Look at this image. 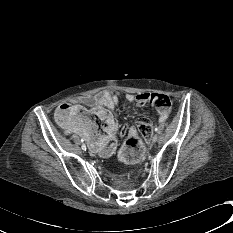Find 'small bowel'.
I'll return each instance as SVG.
<instances>
[{
  "instance_id": "c3829d8e",
  "label": "small bowel",
  "mask_w": 233,
  "mask_h": 233,
  "mask_svg": "<svg viewBox=\"0 0 233 233\" xmlns=\"http://www.w3.org/2000/svg\"><path fill=\"white\" fill-rule=\"evenodd\" d=\"M164 95L151 94L147 92L132 94H122L119 91H102L95 95L79 97L70 104L77 106L78 111L73 117L70 125L64 126L65 132L68 134L75 133L80 135L87 143L90 152L101 157L111 156L117 148V136L119 129L113 116L109 115L103 120V134L97 132V127L91 117L92 110L107 107L109 109L118 105L121 99L130 104H135L138 108H144L156 98H162ZM167 97V96H165ZM84 107H88L89 111L84 112ZM159 119L161 121L168 117L169 107L157 108ZM152 127L151 122L149 121ZM124 130L132 132L133 129L126 127ZM124 158L129 163H136L141 158V151L136 146H129L124 151Z\"/></svg>"
}]
</instances>
